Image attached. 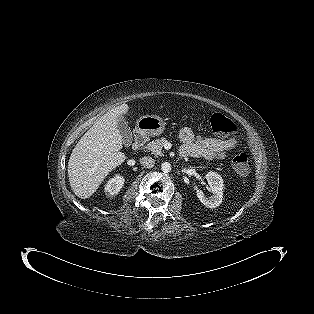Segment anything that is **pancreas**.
<instances>
[{
	"label": "pancreas",
	"instance_id": "1",
	"mask_svg": "<svg viewBox=\"0 0 314 314\" xmlns=\"http://www.w3.org/2000/svg\"><path fill=\"white\" fill-rule=\"evenodd\" d=\"M166 142L167 140L165 138L156 139L155 141L148 143L145 149L155 156H162V148Z\"/></svg>",
	"mask_w": 314,
	"mask_h": 314
}]
</instances>
